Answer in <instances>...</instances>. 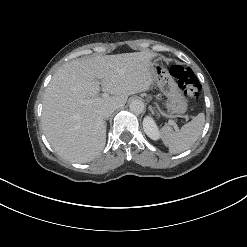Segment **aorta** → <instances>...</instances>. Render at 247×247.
<instances>
[{
  "label": "aorta",
  "mask_w": 247,
  "mask_h": 247,
  "mask_svg": "<svg viewBox=\"0 0 247 247\" xmlns=\"http://www.w3.org/2000/svg\"><path fill=\"white\" fill-rule=\"evenodd\" d=\"M129 109L134 114H141L144 111V103L139 99L130 102Z\"/></svg>",
  "instance_id": "762f6f07"
}]
</instances>
